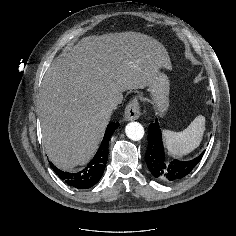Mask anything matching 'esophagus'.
Wrapping results in <instances>:
<instances>
[{
  "label": "esophagus",
  "instance_id": "34e87169",
  "mask_svg": "<svg viewBox=\"0 0 236 236\" xmlns=\"http://www.w3.org/2000/svg\"><path fill=\"white\" fill-rule=\"evenodd\" d=\"M140 115H141L140 103L137 99H133L127 104L125 108L124 120L125 121L137 120L140 117Z\"/></svg>",
  "mask_w": 236,
  "mask_h": 236
}]
</instances>
